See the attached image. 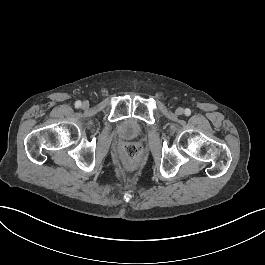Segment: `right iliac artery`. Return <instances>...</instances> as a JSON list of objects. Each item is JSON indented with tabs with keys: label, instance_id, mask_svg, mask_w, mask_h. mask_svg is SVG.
<instances>
[{
	"label": "right iliac artery",
	"instance_id": "1",
	"mask_svg": "<svg viewBox=\"0 0 265 265\" xmlns=\"http://www.w3.org/2000/svg\"><path fill=\"white\" fill-rule=\"evenodd\" d=\"M81 104H82L81 101L78 100L75 102V107L79 108L81 106Z\"/></svg>",
	"mask_w": 265,
	"mask_h": 265
}]
</instances>
